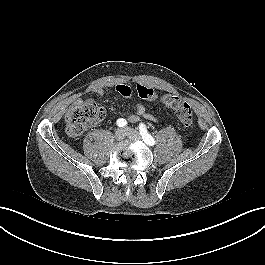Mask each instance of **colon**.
Here are the masks:
<instances>
[{"mask_svg": "<svg viewBox=\"0 0 265 265\" xmlns=\"http://www.w3.org/2000/svg\"><path fill=\"white\" fill-rule=\"evenodd\" d=\"M136 93L139 98L148 101L160 100L161 98L152 88L143 84L136 86ZM162 101L175 110L183 126L189 127L193 124V112L188 102L174 94H167L162 98ZM104 115V109L92 100L71 107L66 113L67 134L73 139L79 138L89 125L97 123L103 119Z\"/></svg>", "mask_w": 265, "mask_h": 265, "instance_id": "5ec220e1", "label": "colon"}]
</instances>
